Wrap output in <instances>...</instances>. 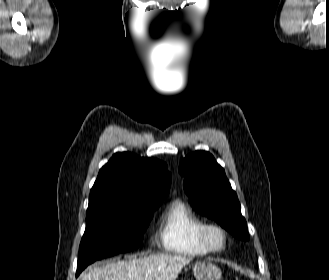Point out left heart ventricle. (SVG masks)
<instances>
[{
  "label": "left heart ventricle",
  "mask_w": 329,
  "mask_h": 280,
  "mask_svg": "<svg viewBox=\"0 0 329 280\" xmlns=\"http://www.w3.org/2000/svg\"><path fill=\"white\" fill-rule=\"evenodd\" d=\"M212 240L214 243L219 244L221 242V237L218 233H213Z\"/></svg>",
  "instance_id": "obj_1"
}]
</instances>
